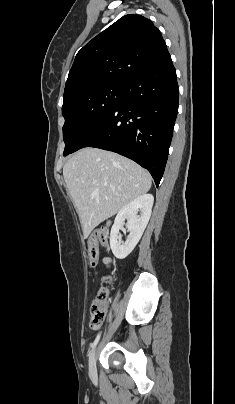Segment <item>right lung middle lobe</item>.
I'll use <instances>...</instances> for the list:
<instances>
[{
    "label": "right lung middle lobe",
    "instance_id": "right-lung-middle-lobe-1",
    "mask_svg": "<svg viewBox=\"0 0 235 404\" xmlns=\"http://www.w3.org/2000/svg\"><path fill=\"white\" fill-rule=\"evenodd\" d=\"M124 84H107L83 92L62 106L64 155L72 153L86 133L120 102Z\"/></svg>",
    "mask_w": 235,
    "mask_h": 404
}]
</instances>
